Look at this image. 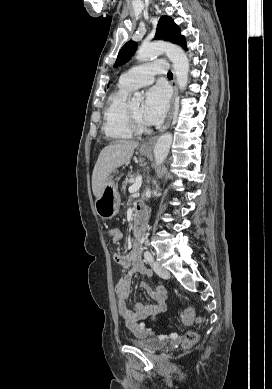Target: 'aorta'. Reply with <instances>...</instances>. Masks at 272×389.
I'll use <instances>...</instances> for the list:
<instances>
[{"mask_svg":"<svg viewBox=\"0 0 272 389\" xmlns=\"http://www.w3.org/2000/svg\"><path fill=\"white\" fill-rule=\"evenodd\" d=\"M162 53H165L173 63L177 84L181 90H184L188 84L189 60L181 47L166 42H152L142 45L138 49L136 59L139 61H147ZM143 99V95L136 92L131 98V102L140 103ZM172 139L173 136L169 132L164 133L158 138L154 146V157L157 165H161L165 161L172 144Z\"/></svg>","mask_w":272,"mask_h":389,"instance_id":"1","label":"aorta"}]
</instances>
